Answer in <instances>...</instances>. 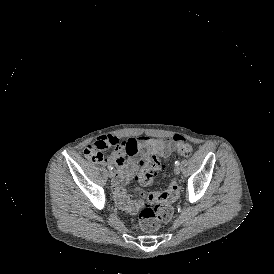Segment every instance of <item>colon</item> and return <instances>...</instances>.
I'll return each mask as SVG.
<instances>
[{
	"instance_id": "obj_1",
	"label": "colon",
	"mask_w": 274,
	"mask_h": 274,
	"mask_svg": "<svg viewBox=\"0 0 274 274\" xmlns=\"http://www.w3.org/2000/svg\"><path fill=\"white\" fill-rule=\"evenodd\" d=\"M102 152V151H84ZM178 152L183 160L193 157V150L187 143L178 145ZM138 185L135 187L139 197H133L130 189L118 185L115 188L114 198L117 205L126 212L138 214L135 227L141 231L157 230L162 223L171 219L173 214L172 203L178 198L180 186L176 181H171L165 191L160 195L150 194L144 197L145 188L151 184L154 176L162 168V160L158 156L145 158L140 163Z\"/></svg>"
}]
</instances>
